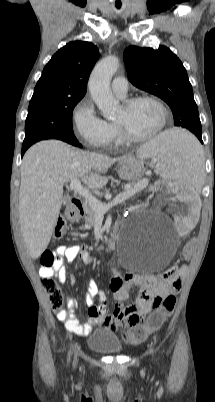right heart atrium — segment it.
<instances>
[{
    "label": "right heart atrium",
    "mask_w": 215,
    "mask_h": 402,
    "mask_svg": "<svg viewBox=\"0 0 215 402\" xmlns=\"http://www.w3.org/2000/svg\"><path fill=\"white\" fill-rule=\"evenodd\" d=\"M74 132L87 146L101 148L112 138V128L96 112L92 101L85 97L73 110Z\"/></svg>",
    "instance_id": "d8ad5b80"
}]
</instances>
